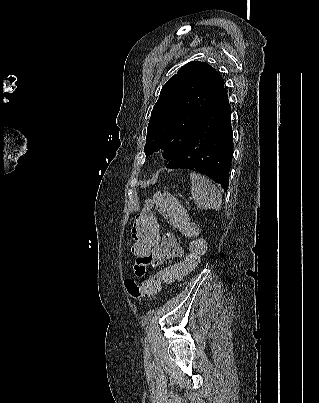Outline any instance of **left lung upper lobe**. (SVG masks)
Wrapping results in <instances>:
<instances>
[{"instance_id":"obj_1","label":"left lung upper lobe","mask_w":319,"mask_h":403,"mask_svg":"<svg viewBox=\"0 0 319 403\" xmlns=\"http://www.w3.org/2000/svg\"><path fill=\"white\" fill-rule=\"evenodd\" d=\"M224 89V80L210 65L192 61L181 67L162 87L151 112L144 151L160 148L170 161L182 150L206 109Z\"/></svg>"}]
</instances>
